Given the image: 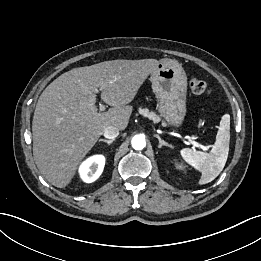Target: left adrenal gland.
Instances as JSON below:
<instances>
[{
  "label": "left adrenal gland",
  "instance_id": "a2214340",
  "mask_svg": "<svg viewBox=\"0 0 261 261\" xmlns=\"http://www.w3.org/2000/svg\"><path fill=\"white\" fill-rule=\"evenodd\" d=\"M154 136L159 140L158 148H162V146H167V147L173 148L172 145H170L167 142H165L164 140H162L159 135L155 134Z\"/></svg>",
  "mask_w": 261,
  "mask_h": 261
}]
</instances>
